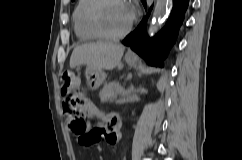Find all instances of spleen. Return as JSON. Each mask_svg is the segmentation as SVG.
Returning a JSON list of instances; mask_svg holds the SVG:
<instances>
[{
    "label": "spleen",
    "mask_w": 242,
    "mask_h": 160,
    "mask_svg": "<svg viewBox=\"0 0 242 160\" xmlns=\"http://www.w3.org/2000/svg\"><path fill=\"white\" fill-rule=\"evenodd\" d=\"M161 85H162V81L160 82L159 87H161Z\"/></svg>",
    "instance_id": "obj_1"
}]
</instances>
